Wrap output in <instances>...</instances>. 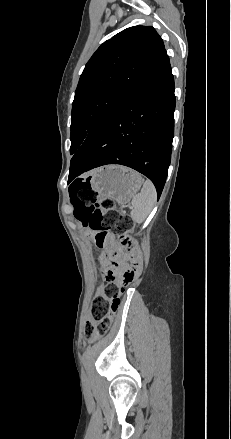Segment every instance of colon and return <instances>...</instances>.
Here are the masks:
<instances>
[{
    "label": "colon",
    "instance_id": "5ec220e1",
    "mask_svg": "<svg viewBox=\"0 0 231 439\" xmlns=\"http://www.w3.org/2000/svg\"><path fill=\"white\" fill-rule=\"evenodd\" d=\"M69 193L75 205V216L84 227L96 233L97 243L107 242L110 231L120 234L121 249L107 257L106 283L103 292L92 301L86 325L87 338L95 339L108 331L122 288L133 283L138 275L140 254L127 235L134 231L135 223L131 216L116 209L111 199L97 201L96 191L85 181L71 185ZM123 260L129 265L120 270Z\"/></svg>",
    "mask_w": 231,
    "mask_h": 439
}]
</instances>
